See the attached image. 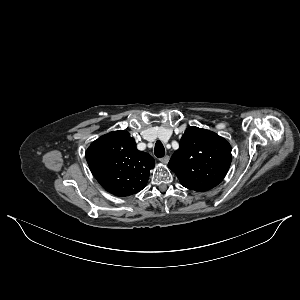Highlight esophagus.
Wrapping results in <instances>:
<instances>
[{"label": "esophagus", "instance_id": "34e87169", "mask_svg": "<svg viewBox=\"0 0 300 300\" xmlns=\"http://www.w3.org/2000/svg\"><path fill=\"white\" fill-rule=\"evenodd\" d=\"M170 157L168 155L161 157L159 160L160 162H162L163 164H167L169 162Z\"/></svg>", "mask_w": 300, "mask_h": 300}]
</instances>
